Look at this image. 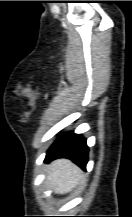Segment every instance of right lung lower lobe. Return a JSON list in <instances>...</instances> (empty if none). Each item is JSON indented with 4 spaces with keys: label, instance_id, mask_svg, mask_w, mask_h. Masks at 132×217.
I'll return each instance as SVG.
<instances>
[{
    "label": "right lung lower lobe",
    "instance_id": "98d812e1",
    "mask_svg": "<svg viewBox=\"0 0 132 217\" xmlns=\"http://www.w3.org/2000/svg\"><path fill=\"white\" fill-rule=\"evenodd\" d=\"M56 158H68L85 169L88 159L86 140L73 132L60 136L47 151L45 162Z\"/></svg>",
    "mask_w": 132,
    "mask_h": 217
}]
</instances>
